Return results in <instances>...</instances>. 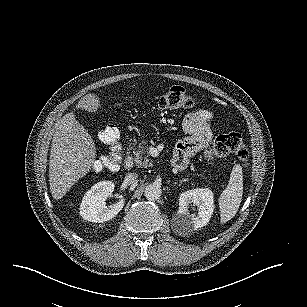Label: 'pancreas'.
I'll use <instances>...</instances> for the list:
<instances>
[{
  "label": "pancreas",
  "mask_w": 307,
  "mask_h": 307,
  "mask_svg": "<svg viewBox=\"0 0 307 307\" xmlns=\"http://www.w3.org/2000/svg\"><path fill=\"white\" fill-rule=\"evenodd\" d=\"M142 144H145V142ZM142 144H139L138 148L134 152V163L137 168L153 167V163L149 159V147Z\"/></svg>",
  "instance_id": "cf45deb5"
}]
</instances>
